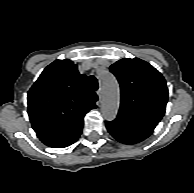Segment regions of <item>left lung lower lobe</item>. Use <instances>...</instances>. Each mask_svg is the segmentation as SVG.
<instances>
[{
	"label": "left lung lower lobe",
	"mask_w": 194,
	"mask_h": 193,
	"mask_svg": "<svg viewBox=\"0 0 194 193\" xmlns=\"http://www.w3.org/2000/svg\"><path fill=\"white\" fill-rule=\"evenodd\" d=\"M106 128L117 141L124 144H135L149 137L155 126L118 115L115 120L106 122Z\"/></svg>",
	"instance_id": "1"
}]
</instances>
